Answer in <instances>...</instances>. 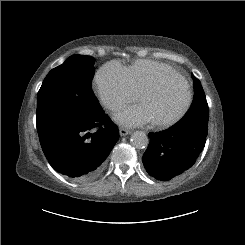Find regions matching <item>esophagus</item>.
Wrapping results in <instances>:
<instances>
[{"label": "esophagus", "mask_w": 245, "mask_h": 245, "mask_svg": "<svg viewBox=\"0 0 245 245\" xmlns=\"http://www.w3.org/2000/svg\"><path fill=\"white\" fill-rule=\"evenodd\" d=\"M119 133H120L121 136H126V135L131 134L132 132H131V130H129V129H126V128H120V129H119Z\"/></svg>", "instance_id": "obj_1"}]
</instances>
